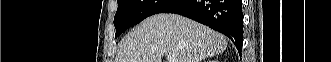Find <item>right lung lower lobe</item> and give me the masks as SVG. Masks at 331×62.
<instances>
[{
    "instance_id": "right-lung-lower-lobe-1",
    "label": "right lung lower lobe",
    "mask_w": 331,
    "mask_h": 62,
    "mask_svg": "<svg viewBox=\"0 0 331 62\" xmlns=\"http://www.w3.org/2000/svg\"><path fill=\"white\" fill-rule=\"evenodd\" d=\"M161 13H175L226 35L239 53L243 44L242 0H179Z\"/></svg>"
}]
</instances>
